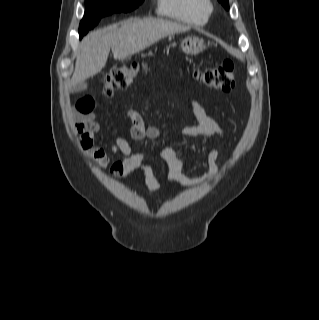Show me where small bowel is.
<instances>
[{
	"mask_svg": "<svg viewBox=\"0 0 319 320\" xmlns=\"http://www.w3.org/2000/svg\"><path fill=\"white\" fill-rule=\"evenodd\" d=\"M191 112L196 119V124L183 129L182 135L186 138H209L224 135L222 125L210 118L205 108L197 101L190 103ZM128 118L131 122L130 135L133 139L139 140L145 137H155L158 130L149 126L141 115L134 109L128 111ZM75 130L78 134V145L85 150L95 161L97 168L104 169L111 163V154H122L123 159L119 161L122 165L117 176L133 177L136 169L141 168L144 172L143 182L152 193H161L163 186L154 173L153 168L147 162V154L142 150H134L129 141L121 136L113 139L109 148L95 146V134L100 129V124L95 120L94 101L90 97H84L77 103V115L75 117ZM159 157L169 168V179L178 187L200 185L213 180L218 174V161L220 153L218 150H211L207 154V172L200 177H189L184 173V162L177 151L169 145H162L158 151ZM117 163V162H116Z\"/></svg>",
	"mask_w": 319,
	"mask_h": 320,
	"instance_id": "small-bowel-1",
	"label": "small bowel"
}]
</instances>
